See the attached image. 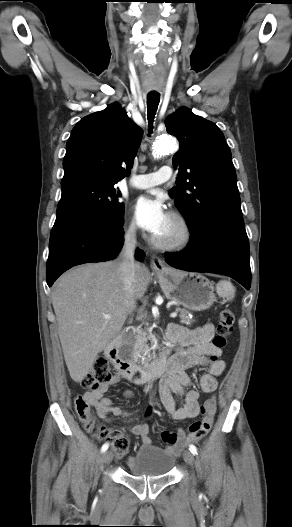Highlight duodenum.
Wrapping results in <instances>:
<instances>
[{"label":"duodenum","mask_w":292,"mask_h":527,"mask_svg":"<svg viewBox=\"0 0 292 527\" xmlns=\"http://www.w3.org/2000/svg\"><path fill=\"white\" fill-rule=\"evenodd\" d=\"M106 352L123 376L137 384H144L162 376L168 368L169 351L167 349H162L158 358L146 366L138 365L124 358L121 351L120 336H116L109 342Z\"/></svg>","instance_id":"obj_1"}]
</instances>
